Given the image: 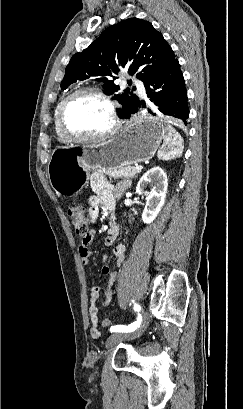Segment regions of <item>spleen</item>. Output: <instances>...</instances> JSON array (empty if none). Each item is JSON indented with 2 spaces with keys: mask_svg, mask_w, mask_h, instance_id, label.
I'll return each mask as SVG.
<instances>
[{
  "mask_svg": "<svg viewBox=\"0 0 243 409\" xmlns=\"http://www.w3.org/2000/svg\"><path fill=\"white\" fill-rule=\"evenodd\" d=\"M164 143L157 156L161 160H171L180 157L183 152L182 138L174 127L167 124L165 126Z\"/></svg>",
  "mask_w": 243,
  "mask_h": 409,
  "instance_id": "spleen-1",
  "label": "spleen"
}]
</instances>
